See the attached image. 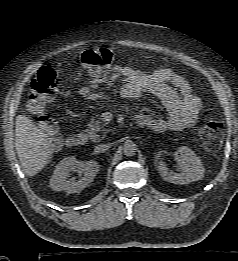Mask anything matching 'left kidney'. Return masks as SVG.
<instances>
[{
  "label": "left kidney",
  "instance_id": "obj_1",
  "mask_svg": "<svg viewBox=\"0 0 238 261\" xmlns=\"http://www.w3.org/2000/svg\"><path fill=\"white\" fill-rule=\"evenodd\" d=\"M178 165L181 172L170 171L164 162L160 160V153L155 156V165L163 180L174 184H188L201 180L204 177V167L201 160L188 147L178 148Z\"/></svg>",
  "mask_w": 238,
  "mask_h": 261
}]
</instances>
